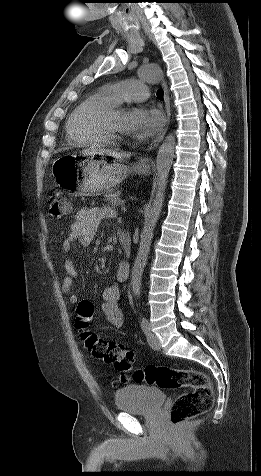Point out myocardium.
Returning <instances> with one entry per match:
<instances>
[{"label":"myocardium","mask_w":261,"mask_h":476,"mask_svg":"<svg viewBox=\"0 0 261 476\" xmlns=\"http://www.w3.org/2000/svg\"><path fill=\"white\" fill-rule=\"evenodd\" d=\"M119 110H123V108L117 103L103 111L96 118L98 129L110 139H123L125 137V134L117 130L112 123L113 116Z\"/></svg>","instance_id":"myocardium-1"}]
</instances>
